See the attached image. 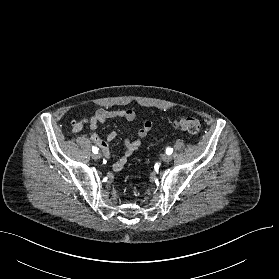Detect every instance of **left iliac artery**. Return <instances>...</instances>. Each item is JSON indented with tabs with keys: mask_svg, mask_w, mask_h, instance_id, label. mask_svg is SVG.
I'll use <instances>...</instances> for the list:
<instances>
[{
	"mask_svg": "<svg viewBox=\"0 0 279 279\" xmlns=\"http://www.w3.org/2000/svg\"><path fill=\"white\" fill-rule=\"evenodd\" d=\"M172 152H173L172 148H167L166 149V154L170 155V154H172Z\"/></svg>",
	"mask_w": 279,
	"mask_h": 279,
	"instance_id": "44dca946",
	"label": "left iliac artery"
}]
</instances>
